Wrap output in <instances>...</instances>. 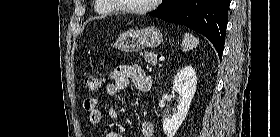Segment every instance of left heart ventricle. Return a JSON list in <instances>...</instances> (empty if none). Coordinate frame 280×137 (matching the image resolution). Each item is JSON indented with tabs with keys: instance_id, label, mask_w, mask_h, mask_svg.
<instances>
[{
	"instance_id": "b2bd125f",
	"label": "left heart ventricle",
	"mask_w": 280,
	"mask_h": 137,
	"mask_svg": "<svg viewBox=\"0 0 280 137\" xmlns=\"http://www.w3.org/2000/svg\"><path fill=\"white\" fill-rule=\"evenodd\" d=\"M150 3V0H122L124 7H141Z\"/></svg>"
}]
</instances>
